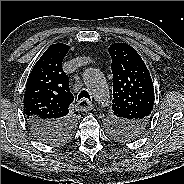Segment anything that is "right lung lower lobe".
I'll list each match as a JSON object with an SVG mask.
<instances>
[{
    "instance_id": "obj_1",
    "label": "right lung lower lobe",
    "mask_w": 184,
    "mask_h": 184,
    "mask_svg": "<svg viewBox=\"0 0 184 184\" xmlns=\"http://www.w3.org/2000/svg\"><path fill=\"white\" fill-rule=\"evenodd\" d=\"M28 123L37 139L47 144H54L58 138L67 134L75 126V122L70 116L57 122L32 118L28 120Z\"/></svg>"
}]
</instances>
